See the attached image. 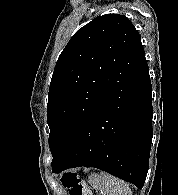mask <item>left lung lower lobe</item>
Returning <instances> with one entry per match:
<instances>
[{"label": "left lung lower lobe", "instance_id": "obj_1", "mask_svg": "<svg viewBox=\"0 0 178 195\" xmlns=\"http://www.w3.org/2000/svg\"><path fill=\"white\" fill-rule=\"evenodd\" d=\"M151 81L145 62L99 106L52 166L54 173L95 167L142 188L152 141Z\"/></svg>", "mask_w": 178, "mask_h": 195}]
</instances>
